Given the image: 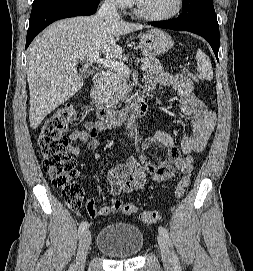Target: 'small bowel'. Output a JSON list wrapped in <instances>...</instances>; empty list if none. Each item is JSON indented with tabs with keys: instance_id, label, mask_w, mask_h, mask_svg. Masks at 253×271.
Segmentation results:
<instances>
[{
	"instance_id": "obj_1",
	"label": "small bowel",
	"mask_w": 253,
	"mask_h": 271,
	"mask_svg": "<svg viewBox=\"0 0 253 271\" xmlns=\"http://www.w3.org/2000/svg\"><path fill=\"white\" fill-rule=\"evenodd\" d=\"M157 85L174 88L181 102V113L190 118V133L183 137L180 144V151L184 156H180V151L171 134L156 129L142 142L141 147L143 150H148L154 144L163 145L166 148L163 160L156 162L141 157L137 161L131 158L127 164L114 166L107 176L113 196L121 192L131 193L142 189L148 177L155 181H164L169 179L176 170L189 175L194 162L193 154L205 149L215 128L216 115L194 95L191 76L168 72L149 75L146 78L145 92L149 94ZM103 128L95 122H86L84 129L71 132L70 139L85 143L89 149L95 150L101 145L98 133ZM67 149L74 156H79L82 152L80 144L70 145ZM87 211L92 217L109 216L112 213L110 207H96L94 203L92 210L87 209Z\"/></svg>"
}]
</instances>
